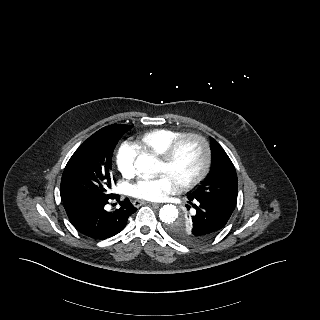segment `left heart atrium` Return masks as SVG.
Returning <instances> with one entry per match:
<instances>
[{
	"label": "left heart atrium",
	"mask_w": 320,
	"mask_h": 320,
	"mask_svg": "<svg viewBox=\"0 0 320 320\" xmlns=\"http://www.w3.org/2000/svg\"><path fill=\"white\" fill-rule=\"evenodd\" d=\"M175 190V184L164 174L156 178H139L130 187L133 197L149 201H158Z\"/></svg>",
	"instance_id": "1"
}]
</instances>
